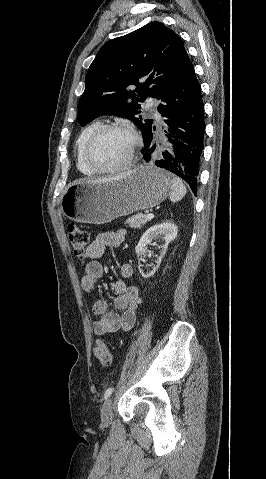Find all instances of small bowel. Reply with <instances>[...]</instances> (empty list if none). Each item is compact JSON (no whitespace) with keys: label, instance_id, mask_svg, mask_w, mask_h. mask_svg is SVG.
Instances as JSON below:
<instances>
[{"label":"small bowel","instance_id":"small-bowel-1","mask_svg":"<svg viewBox=\"0 0 266 479\" xmlns=\"http://www.w3.org/2000/svg\"><path fill=\"white\" fill-rule=\"evenodd\" d=\"M124 241L123 231L99 233L88 247L87 258L89 262L85 266L84 275L81 279L82 289L86 292H94L96 283L104 274L102 264L97 261L109 247L118 248ZM133 268L129 263L120 265V275L123 278L132 276ZM115 293L114 308L110 311L106 299H98L93 304V312L97 319L93 323L94 332L97 335H107L116 332L131 330L136 322V312L141 304L140 290L135 285L128 284L124 279L114 282Z\"/></svg>","mask_w":266,"mask_h":479}]
</instances>
